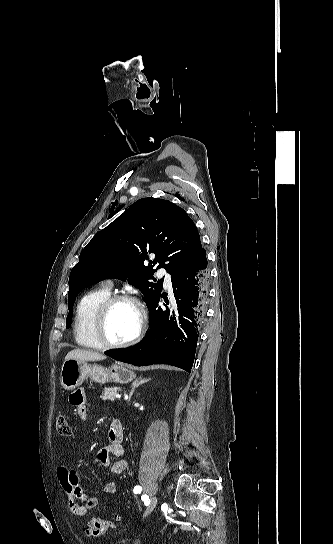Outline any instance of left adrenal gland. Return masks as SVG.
I'll return each mask as SVG.
<instances>
[{"instance_id": "left-adrenal-gland-1", "label": "left adrenal gland", "mask_w": 333, "mask_h": 544, "mask_svg": "<svg viewBox=\"0 0 333 544\" xmlns=\"http://www.w3.org/2000/svg\"><path fill=\"white\" fill-rule=\"evenodd\" d=\"M149 380H150V379H139V380H134V382L132 383V389H131V391H130V394H129V397H128V401L131 400V397H132V395H133L135 389H136L138 386H140V385H142V384L148 382Z\"/></svg>"}]
</instances>
